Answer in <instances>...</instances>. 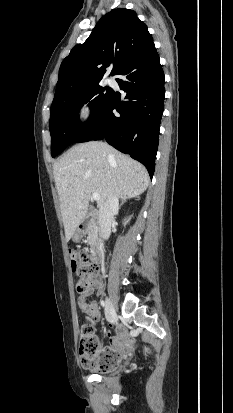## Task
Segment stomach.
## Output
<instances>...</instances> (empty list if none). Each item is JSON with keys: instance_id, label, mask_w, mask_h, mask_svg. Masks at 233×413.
Returning a JSON list of instances; mask_svg holds the SVG:
<instances>
[{"instance_id": "1", "label": "stomach", "mask_w": 233, "mask_h": 413, "mask_svg": "<svg viewBox=\"0 0 233 413\" xmlns=\"http://www.w3.org/2000/svg\"><path fill=\"white\" fill-rule=\"evenodd\" d=\"M85 235V232L84 231H82V230H79V229H76V231L74 232V234H73V241H75V242H79L82 238H83V236Z\"/></svg>"}]
</instances>
